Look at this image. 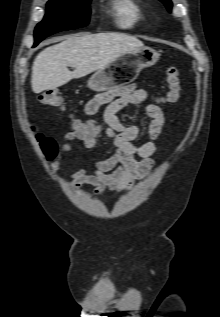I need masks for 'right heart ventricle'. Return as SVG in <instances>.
<instances>
[{"label":"right heart ventricle","mask_w":220,"mask_h":317,"mask_svg":"<svg viewBox=\"0 0 220 317\" xmlns=\"http://www.w3.org/2000/svg\"><path fill=\"white\" fill-rule=\"evenodd\" d=\"M112 9L120 29H134L143 21L142 9L135 0H114Z\"/></svg>","instance_id":"e07e8e85"}]
</instances>
